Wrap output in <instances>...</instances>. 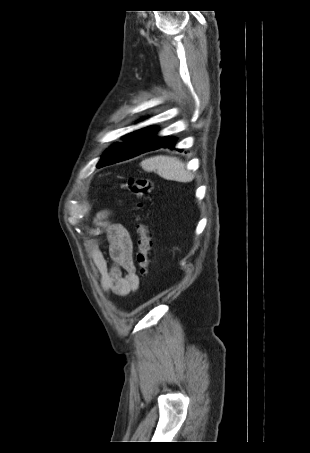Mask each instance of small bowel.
<instances>
[{"instance_id": "1", "label": "small bowel", "mask_w": 310, "mask_h": 453, "mask_svg": "<svg viewBox=\"0 0 310 453\" xmlns=\"http://www.w3.org/2000/svg\"><path fill=\"white\" fill-rule=\"evenodd\" d=\"M97 225L106 233L109 242V261L98 243L89 245L102 290L107 295L134 293L139 287V277L133 262V243L128 229L122 223L110 222L106 212L98 215Z\"/></svg>"}]
</instances>
